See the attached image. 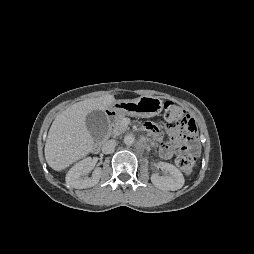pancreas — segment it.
Listing matches in <instances>:
<instances>
[{
    "label": "pancreas",
    "instance_id": "pancreas-1",
    "mask_svg": "<svg viewBox=\"0 0 254 254\" xmlns=\"http://www.w3.org/2000/svg\"><path fill=\"white\" fill-rule=\"evenodd\" d=\"M124 115H119L115 122L112 124V129L110 131V133L113 136H119L122 133H124L129 127L124 124L123 120H124Z\"/></svg>",
    "mask_w": 254,
    "mask_h": 254
}]
</instances>
